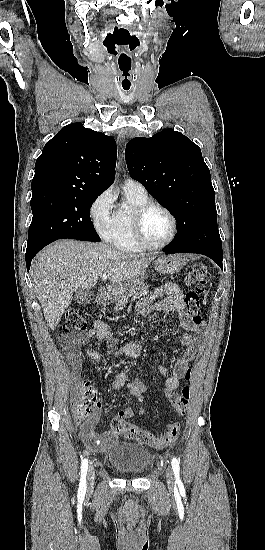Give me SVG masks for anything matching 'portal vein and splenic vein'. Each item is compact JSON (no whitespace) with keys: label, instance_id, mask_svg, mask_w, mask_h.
Returning <instances> with one entry per match:
<instances>
[{"label":"portal vein and splenic vein","instance_id":"portal-vein-and-splenic-vein-1","mask_svg":"<svg viewBox=\"0 0 265 550\" xmlns=\"http://www.w3.org/2000/svg\"><path fill=\"white\" fill-rule=\"evenodd\" d=\"M101 279H102V280H106V279H107V275H106V274H103V275L101 276Z\"/></svg>","mask_w":265,"mask_h":550}]
</instances>
